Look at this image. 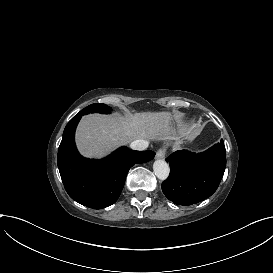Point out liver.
Listing matches in <instances>:
<instances>
[{"instance_id":"1","label":"liver","mask_w":273,"mask_h":273,"mask_svg":"<svg viewBox=\"0 0 273 273\" xmlns=\"http://www.w3.org/2000/svg\"><path fill=\"white\" fill-rule=\"evenodd\" d=\"M181 111H146L132 114H89L75 130V145L84 159L101 160L138 139L150 142L185 140L199 135Z\"/></svg>"}]
</instances>
